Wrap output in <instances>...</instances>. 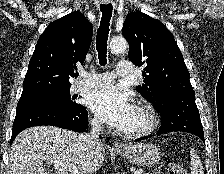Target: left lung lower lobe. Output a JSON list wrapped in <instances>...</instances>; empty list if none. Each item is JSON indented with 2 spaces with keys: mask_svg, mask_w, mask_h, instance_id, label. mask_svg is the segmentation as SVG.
Returning <instances> with one entry per match:
<instances>
[{
  "mask_svg": "<svg viewBox=\"0 0 224 174\" xmlns=\"http://www.w3.org/2000/svg\"><path fill=\"white\" fill-rule=\"evenodd\" d=\"M155 109L162 117L158 134L187 132L198 136L204 142V132L195 104V94H163ZM146 138L148 137H141L137 141Z\"/></svg>",
  "mask_w": 224,
  "mask_h": 174,
  "instance_id": "0a47b994",
  "label": "left lung lower lobe"
}]
</instances>
